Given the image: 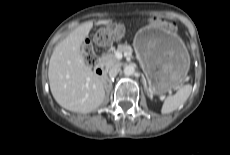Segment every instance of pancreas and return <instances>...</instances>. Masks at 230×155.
Instances as JSON below:
<instances>
[{"mask_svg":"<svg viewBox=\"0 0 230 155\" xmlns=\"http://www.w3.org/2000/svg\"><path fill=\"white\" fill-rule=\"evenodd\" d=\"M117 51L131 54L132 48L128 45H119L117 47ZM114 52H115V50H112L111 52L102 55L99 59L100 64L103 67H105L106 70H108L109 68H111L115 65L120 64V61L115 57Z\"/></svg>","mask_w":230,"mask_h":155,"instance_id":"obj_1","label":"pancreas"}]
</instances>
